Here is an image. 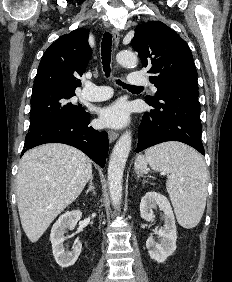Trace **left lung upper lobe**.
<instances>
[{
	"label": "left lung upper lobe",
	"mask_w": 232,
	"mask_h": 282,
	"mask_svg": "<svg viewBox=\"0 0 232 282\" xmlns=\"http://www.w3.org/2000/svg\"><path fill=\"white\" fill-rule=\"evenodd\" d=\"M131 44L143 67L151 74L150 82L158 89L155 96H146V101L157 102L168 88L198 90L197 72L189 46L164 23L150 21L137 25Z\"/></svg>",
	"instance_id": "left-lung-upper-lobe-1"
}]
</instances>
